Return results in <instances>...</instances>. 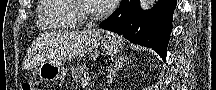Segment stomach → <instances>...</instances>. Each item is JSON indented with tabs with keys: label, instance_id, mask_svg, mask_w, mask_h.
I'll list each match as a JSON object with an SVG mask.
<instances>
[{
	"label": "stomach",
	"instance_id": "obj_1",
	"mask_svg": "<svg viewBox=\"0 0 216 90\" xmlns=\"http://www.w3.org/2000/svg\"><path fill=\"white\" fill-rule=\"evenodd\" d=\"M99 45L108 55H116L122 52L124 47L122 39L112 34L105 35ZM37 72L41 80L48 82L62 81L67 73L65 67L59 62L43 63Z\"/></svg>",
	"mask_w": 216,
	"mask_h": 90
}]
</instances>
